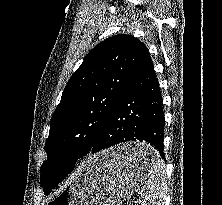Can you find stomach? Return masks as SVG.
Listing matches in <instances>:
<instances>
[{
    "label": "stomach",
    "instance_id": "0dacf381",
    "mask_svg": "<svg viewBox=\"0 0 222 205\" xmlns=\"http://www.w3.org/2000/svg\"><path fill=\"white\" fill-rule=\"evenodd\" d=\"M156 156L153 147L131 142L97 153L72 174L66 187L43 205H121L149 175L150 165L136 166L126 158L135 151Z\"/></svg>",
    "mask_w": 222,
    "mask_h": 205
}]
</instances>
